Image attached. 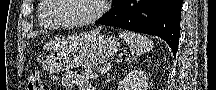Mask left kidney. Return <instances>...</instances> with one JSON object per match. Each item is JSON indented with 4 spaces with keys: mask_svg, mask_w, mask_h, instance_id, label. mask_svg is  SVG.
I'll use <instances>...</instances> for the list:
<instances>
[{
    "mask_svg": "<svg viewBox=\"0 0 216 90\" xmlns=\"http://www.w3.org/2000/svg\"><path fill=\"white\" fill-rule=\"evenodd\" d=\"M118 90H148V74L144 70H132L126 74Z\"/></svg>",
    "mask_w": 216,
    "mask_h": 90,
    "instance_id": "1",
    "label": "left kidney"
}]
</instances>
